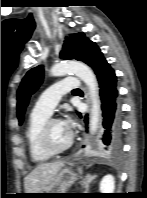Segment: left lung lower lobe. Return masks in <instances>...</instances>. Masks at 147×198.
Wrapping results in <instances>:
<instances>
[{
	"instance_id": "left-lung-lower-lobe-1",
	"label": "left lung lower lobe",
	"mask_w": 147,
	"mask_h": 198,
	"mask_svg": "<svg viewBox=\"0 0 147 198\" xmlns=\"http://www.w3.org/2000/svg\"><path fill=\"white\" fill-rule=\"evenodd\" d=\"M88 64L97 75L103 111L102 143L104 156L115 159L121 154V109L118 102L117 78L114 70L103 57L99 47L92 43L87 56ZM79 116L80 113H78ZM87 123V118L85 119Z\"/></svg>"
}]
</instances>
